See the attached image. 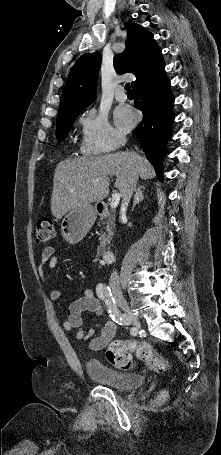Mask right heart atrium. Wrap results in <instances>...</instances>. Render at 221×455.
I'll return each instance as SVG.
<instances>
[{"label":"right heart atrium","mask_w":221,"mask_h":455,"mask_svg":"<svg viewBox=\"0 0 221 455\" xmlns=\"http://www.w3.org/2000/svg\"><path fill=\"white\" fill-rule=\"evenodd\" d=\"M81 126L80 151L84 155H100L114 151L122 143L124 135L108 118L90 109L79 118Z\"/></svg>","instance_id":"1"}]
</instances>
